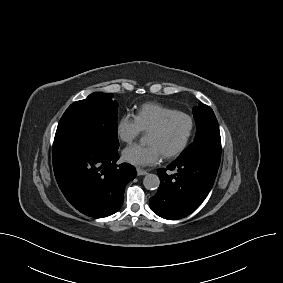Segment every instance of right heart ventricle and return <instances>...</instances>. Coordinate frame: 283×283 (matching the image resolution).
<instances>
[{
    "instance_id": "obj_1",
    "label": "right heart ventricle",
    "mask_w": 283,
    "mask_h": 283,
    "mask_svg": "<svg viewBox=\"0 0 283 283\" xmlns=\"http://www.w3.org/2000/svg\"><path fill=\"white\" fill-rule=\"evenodd\" d=\"M177 110L160 103L143 104L136 112L135 117L143 132H148L161 122L166 116Z\"/></svg>"
}]
</instances>
